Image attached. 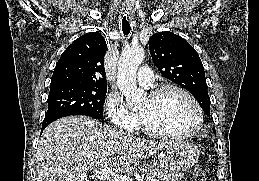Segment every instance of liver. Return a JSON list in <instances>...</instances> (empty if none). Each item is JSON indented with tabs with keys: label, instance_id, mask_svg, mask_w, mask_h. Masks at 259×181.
I'll list each match as a JSON object with an SVG mask.
<instances>
[{
	"label": "liver",
	"instance_id": "1",
	"mask_svg": "<svg viewBox=\"0 0 259 181\" xmlns=\"http://www.w3.org/2000/svg\"><path fill=\"white\" fill-rule=\"evenodd\" d=\"M168 143L143 140L86 116L62 118L39 140L36 181H89L87 173L102 167L120 176Z\"/></svg>",
	"mask_w": 259,
	"mask_h": 181
}]
</instances>
